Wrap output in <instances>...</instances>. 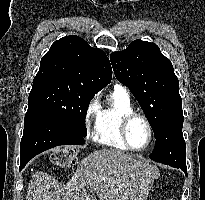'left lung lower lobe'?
Here are the masks:
<instances>
[{"instance_id":"1","label":"left lung lower lobe","mask_w":205,"mask_h":200,"mask_svg":"<svg viewBox=\"0 0 205 200\" xmlns=\"http://www.w3.org/2000/svg\"><path fill=\"white\" fill-rule=\"evenodd\" d=\"M183 112L179 111L165 121L150 158L156 162L180 168L187 175L186 144L182 135Z\"/></svg>"}]
</instances>
